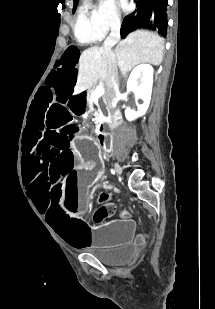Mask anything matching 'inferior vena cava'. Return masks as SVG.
<instances>
[{"label":"inferior vena cava","instance_id":"obj_1","mask_svg":"<svg viewBox=\"0 0 215 309\" xmlns=\"http://www.w3.org/2000/svg\"><path fill=\"white\" fill-rule=\"evenodd\" d=\"M121 20H113L111 24V32L103 42L101 50L106 54L107 74L105 76V98L109 112H113L117 106L120 96L118 68L115 52L112 46H115L120 40Z\"/></svg>","mask_w":215,"mask_h":309}]
</instances>
